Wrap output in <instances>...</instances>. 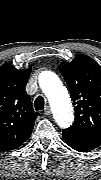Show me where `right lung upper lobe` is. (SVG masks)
I'll return each instance as SVG.
<instances>
[{"instance_id":"cb5924a9","label":"right lung upper lobe","mask_w":101,"mask_h":180,"mask_svg":"<svg viewBox=\"0 0 101 180\" xmlns=\"http://www.w3.org/2000/svg\"><path fill=\"white\" fill-rule=\"evenodd\" d=\"M31 67L18 70L12 64L0 67V147L13 150L30 136L34 121L39 115L34 112L29 95L25 91Z\"/></svg>"}]
</instances>
